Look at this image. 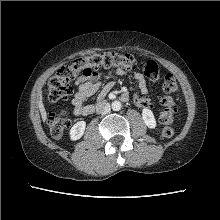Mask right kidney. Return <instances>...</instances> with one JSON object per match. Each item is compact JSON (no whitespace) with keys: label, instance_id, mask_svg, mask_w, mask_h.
<instances>
[{"label":"right kidney","instance_id":"right-kidney-1","mask_svg":"<svg viewBox=\"0 0 220 220\" xmlns=\"http://www.w3.org/2000/svg\"><path fill=\"white\" fill-rule=\"evenodd\" d=\"M85 127V121H79L76 124H74L73 127L70 129V139L73 141L80 139L84 134Z\"/></svg>","mask_w":220,"mask_h":220}]
</instances>
